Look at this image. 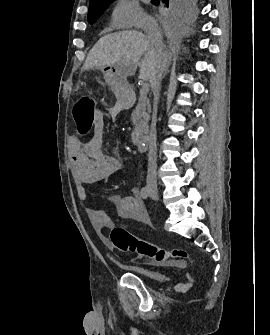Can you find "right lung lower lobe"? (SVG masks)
Segmentation results:
<instances>
[{
	"mask_svg": "<svg viewBox=\"0 0 270 335\" xmlns=\"http://www.w3.org/2000/svg\"><path fill=\"white\" fill-rule=\"evenodd\" d=\"M162 2L165 3V5H169V1H167V0H162ZM173 2H174V1H173ZM173 2H171V3H173ZM171 3H170V4H171Z\"/></svg>",
	"mask_w": 270,
	"mask_h": 335,
	"instance_id": "obj_1",
	"label": "right lung lower lobe"
}]
</instances>
